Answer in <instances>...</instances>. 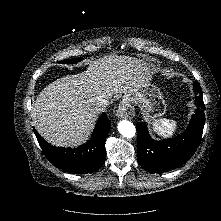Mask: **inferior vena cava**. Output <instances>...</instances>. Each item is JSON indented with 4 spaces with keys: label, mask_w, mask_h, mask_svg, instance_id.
Instances as JSON below:
<instances>
[{
    "label": "inferior vena cava",
    "mask_w": 221,
    "mask_h": 221,
    "mask_svg": "<svg viewBox=\"0 0 221 221\" xmlns=\"http://www.w3.org/2000/svg\"><path fill=\"white\" fill-rule=\"evenodd\" d=\"M97 102L103 108L108 104V100H106L105 98L101 96L97 97Z\"/></svg>",
    "instance_id": "602c4592"
}]
</instances>
